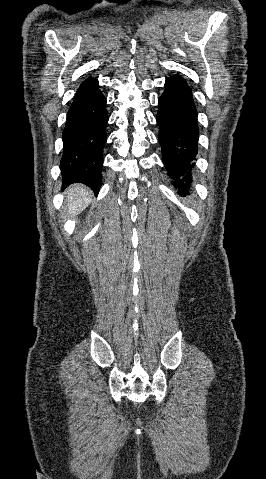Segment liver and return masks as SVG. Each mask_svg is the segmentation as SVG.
Instances as JSON below:
<instances>
[{"instance_id": "obj_1", "label": "liver", "mask_w": 266, "mask_h": 479, "mask_svg": "<svg viewBox=\"0 0 266 479\" xmlns=\"http://www.w3.org/2000/svg\"><path fill=\"white\" fill-rule=\"evenodd\" d=\"M91 192L83 185H73L66 191L67 216L73 218L85 210L91 202Z\"/></svg>"}]
</instances>
